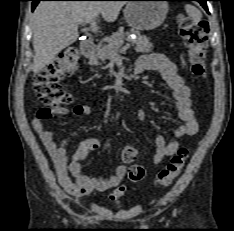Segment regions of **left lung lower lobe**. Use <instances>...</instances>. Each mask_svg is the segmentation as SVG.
Returning <instances> with one entry per match:
<instances>
[{"mask_svg": "<svg viewBox=\"0 0 234 231\" xmlns=\"http://www.w3.org/2000/svg\"><path fill=\"white\" fill-rule=\"evenodd\" d=\"M168 1H198L204 9L209 13L206 2L209 0H168Z\"/></svg>", "mask_w": 234, "mask_h": 231, "instance_id": "left-lung-lower-lobe-1", "label": "left lung lower lobe"}]
</instances>
